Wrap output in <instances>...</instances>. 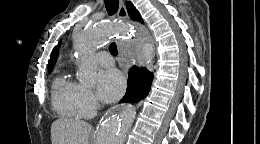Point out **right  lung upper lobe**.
I'll use <instances>...</instances> for the list:
<instances>
[{
  "mask_svg": "<svg viewBox=\"0 0 260 144\" xmlns=\"http://www.w3.org/2000/svg\"><path fill=\"white\" fill-rule=\"evenodd\" d=\"M126 8H127L128 14L132 20H136V21L143 23V20L140 16L138 10L134 7V5L130 1L126 2ZM60 45H61V41L59 42L58 46H56L52 51V54L49 59V64H48L49 71H52V67L54 66V64L56 62V59L58 56V49H59Z\"/></svg>",
  "mask_w": 260,
  "mask_h": 144,
  "instance_id": "obj_1",
  "label": "right lung upper lobe"
}]
</instances>
